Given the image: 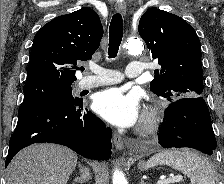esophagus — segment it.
<instances>
[{"label": "esophagus", "mask_w": 224, "mask_h": 184, "mask_svg": "<svg viewBox=\"0 0 224 184\" xmlns=\"http://www.w3.org/2000/svg\"><path fill=\"white\" fill-rule=\"evenodd\" d=\"M115 8L116 11L121 13L122 15L126 14V4L124 2L116 3ZM113 141L117 150H122L124 148V141L122 137L116 132L113 135Z\"/></svg>", "instance_id": "obj_1"}]
</instances>
